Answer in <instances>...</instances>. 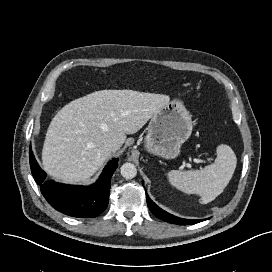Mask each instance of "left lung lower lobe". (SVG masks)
<instances>
[{"label": "left lung lower lobe", "mask_w": 272, "mask_h": 272, "mask_svg": "<svg viewBox=\"0 0 272 272\" xmlns=\"http://www.w3.org/2000/svg\"><path fill=\"white\" fill-rule=\"evenodd\" d=\"M147 204L151 212L159 219L169 222L172 224H178V225H189V224H196L204 220H190V219H183L176 217L172 214L167 213L163 209L159 208L150 198L148 195H146Z\"/></svg>", "instance_id": "0a47b994"}]
</instances>
